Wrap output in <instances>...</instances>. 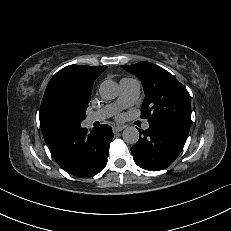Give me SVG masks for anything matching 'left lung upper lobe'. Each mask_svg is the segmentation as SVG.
<instances>
[{
  "label": "left lung upper lobe",
  "mask_w": 231,
  "mask_h": 231,
  "mask_svg": "<svg viewBox=\"0 0 231 231\" xmlns=\"http://www.w3.org/2000/svg\"><path fill=\"white\" fill-rule=\"evenodd\" d=\"M122 68L136 75L143 84L145 99L141 118L148 122L166 119L191 125L190 95L171 73L149 62L123 65Z\"/></svg>",
  "instance_id": "1"
}]
</instances>
